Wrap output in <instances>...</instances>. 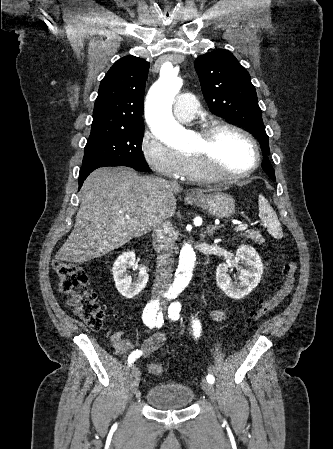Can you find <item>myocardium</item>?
<instances>
[{"label":"myocardium","mask_w":333,"mask_h":449,"mask_svg":"<svg viewBox=\"0 0 333 449\" xmlns=\"http://www.w3.org/2000/svg\"><path fill=\"white\" fill-rule=\"evenodd\" d=\"M233 131L238 134H240L242 137H244L252 146V149L254 151L255 155V161L253 165L248 168L247 170L236 173V174H220L215 172L210 164H209V152L208 148L210 145V142L212 138L220 131ZM198 136L202 140V148L199 151L193 152L190 154V157L194 160L196 163V166L198 167L200 173L202 176L210 181L215 182H234L242 180L248 176H250L259 166L261 161V153L259 146L255 140V138L252 136L251 133H249L247 130L231 124L227 122H210L206 123L202 126L200 131L198 132Z\"/></svg>","instance_id":"myocardium-1"}]
</instances>
